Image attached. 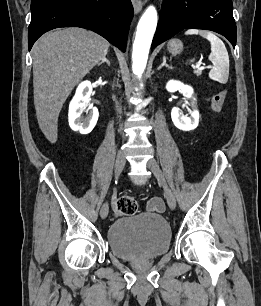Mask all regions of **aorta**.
Instances as JSON below:
<instances>
[{
  "label": "aorta",
  "instance_id": "obj_1",
  "mask_svg": "<svg viewBox=\"0 0 261 306\" xmlns=\"http://www.w3.org/2000/svg\"><path fill=\"white\" fill-rule=\"evenodd\" d=\"M157 26V11L149 6L139 20L132 52L133 73L141 78L147 64L149 49Z\"/></svg>",
  "mask_w": 261,
  "mask_h": 306
}]
</instances>
